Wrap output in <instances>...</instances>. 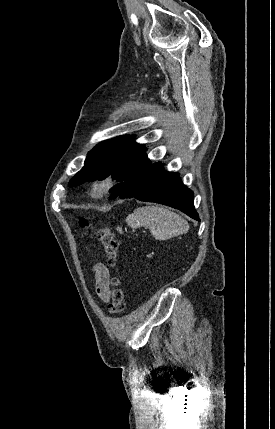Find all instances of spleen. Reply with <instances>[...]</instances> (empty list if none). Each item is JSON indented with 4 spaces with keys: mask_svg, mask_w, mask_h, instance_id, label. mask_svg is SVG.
<instances>
[{
    "mask_svg": "<svg viewBox=\"0 0 275 429\" xmlns=\"http://www.w3.org/2000/svg\"><path fill=\"white\" fill-rule=\"evenodd\" d=\"M132 228L147 227L156 240H167L189 229L188 222L178 214L161 206L137 208L126 218Z\"/></svg>",
    "mask_w": 275,
    "mask_h": 429,
    "instance_id": "spleen-1",
    "label": "spleen"
}]
</instances>
